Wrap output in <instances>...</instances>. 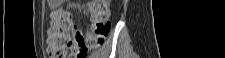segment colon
<instances>
[{"label":"colon","mask_w":225,"mask_h":58,"mask_svg":"<svg viewBox=\"0 0 225 58\" xmlns=\"http://www.w3.org/2000/svg\"><path fill=\"white\" fill-rule=\"evenodd\" d=\"M89 14L90 29L83 32L73 24L66 9L53 13L48 39L51 58H65L69 52L74 58H85L90 51L104 44L111 28L107 1H90Z\"/></svg>","instance_id":"1"}]
</instances>
